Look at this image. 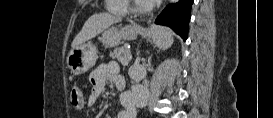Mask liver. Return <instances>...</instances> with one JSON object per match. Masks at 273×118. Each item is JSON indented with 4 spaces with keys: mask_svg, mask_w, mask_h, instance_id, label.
I'll list each match as a JSON object with an SVG mask.
<instances>
[{
    "mask_svg": "<svg viewBox=\"0 0 273 118\" xmlns=\"http://www.w3.org/2000/svg\"><path fill=\"white\" fill-rule=\"evenodd\" d=\"M121 16H114L108 13H99L92 15L84 24L81 31L74 38L71 47L75 48L80 44L96 37L104 29L114 23L120 22Z\"/></svg>",
    "mask_w": 273,
    "mask_h": 118,
    "instance_id": "1",
    "label": "liver"
}]
</instances>
